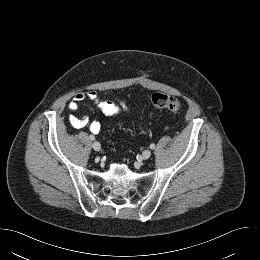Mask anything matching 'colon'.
<instances>
[{
	"mask_svg": "<svg viewBox=\"0 0 260 260\" xmlns=\"http://www.w3.org/2000/svg\"><path fill=\"white\" fill-rule=\"evenodd\" d=\"M152 105L159 110L177 112L181 109L180 101L172 96L163 93H155L151 96Z\"/></svg>",
	"mask_w": 260,
	"mask_h": 260,
	"instance_id": "colon-1",
	"label": "colon"
}]
</instances>
